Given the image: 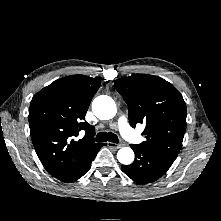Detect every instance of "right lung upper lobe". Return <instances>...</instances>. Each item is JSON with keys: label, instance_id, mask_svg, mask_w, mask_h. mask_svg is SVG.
Returning a JSON list of instances; mask_svg holds the SVG:
<instances>
[{"label": "right lung upper lobe", "instance_id": "cb5924a9", "mask_svg": "<svg viewBox=\"0 0 221 221\" xmlns=\"http://www.w3.org/2000/svg\"><path fill=\"white\" fill-rule=\"evenodd\" d=\"M99 79L85 75L63 77L46 86L31 100L29 127L36 153L54 177L75 168L93 154L95 129L85 120ZM82 139L75 140L79 132Z\"/></svg>", "mask_w": 221, "mask_h": 221}]
</instances>
